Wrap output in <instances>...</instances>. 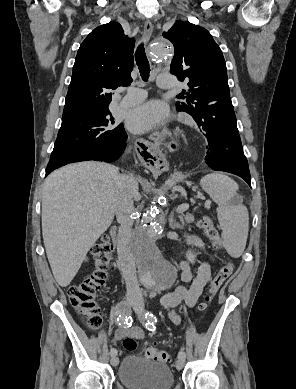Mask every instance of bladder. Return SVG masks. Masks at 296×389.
Instances as JSON below:
<instances>
[{
	"label": "bladder",
	"mask_w": 296,
	"mask_h": 389,
	"mask_svg": "<svg viewBox=\"0 0 296 389\" xmlns=\"http://www.w3.org/2000/svg\"><path fill=\"white\" fill-rule=\"evenodd\" d=\"M117 374L127 389H171L174 385V376L168 365L135 354L123 358Z\"/></svg>",
	"instance_id": "31cf9c89"
}]
</instances>
